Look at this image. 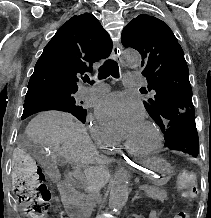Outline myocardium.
I'll use <instances>...</instances> for the list:
<instances>
[{
  "label": "myocardium",
  "mask_w": 211,
  "mask_h": 218,
  "mask_svg": "<svg viewBox=\"0 0 211 218\" xmlns=\"http://www.w3.org/2000/svg\"><path fill=\"white\" fill-rule=\"evenodd\" d=\"M149 128L152 130L153 134H154V143L151 147H149L148 149H138L135 147H131L127 141L124 142V149L131 155L135 156V157H140V158H145L148 156H151L153 154H155L157 152V150L160 148L161 146V142H162V136H161V132L159 127L156 125V123H154L151 120H147L145 122Z\"/></svg>",
  "instance_id": "obj_1"
}]
</instances>
